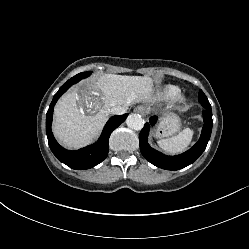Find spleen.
I'll use <instances>...</instances> for the list:
<instances>
[{"label": "spleen", "mask_w": 249, "mask_h": 249, "mask_svg": "<svg viewBox=\"0 0 249 249\" xmlns=\"http://www.w3.org/2000/svg\"><path fill=\"white\" fill-rule=\"evenodd\" d=\"M194 131L186 128L177 136L162 139L157 142L159 148L167 154L175 155L185 151L190 145Z\"/></svg>", "instance_id": "spleen-1"}]
</instances>
